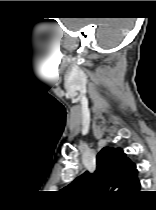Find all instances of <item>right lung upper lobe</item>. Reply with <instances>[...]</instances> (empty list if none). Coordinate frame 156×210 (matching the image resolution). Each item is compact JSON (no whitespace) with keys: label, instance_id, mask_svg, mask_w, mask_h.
I'll list each match as a JSON object with an SVG mask.
<instances>
[{"label":"right lung upper lobe","instance_id":"obj_1","mask_svg":"<svg viewBox=\"0 0 156 210\" xmlns=\"http://www.w3.org/2000/svg\"><path fill=\"white\" fill-rule=\"evenodd\" d=\"M70 188L79 191L115 193L121 198H130L140 189L136 165L121 148L104 147L97 155V168L77 177Z\"/></svg>","mask_w":156,"mask_h":210}]
</instances>
